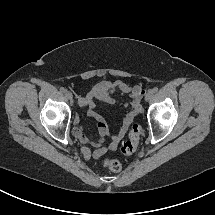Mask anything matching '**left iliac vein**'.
<instances>
[{"label": "left iliac vein", "mask_w": 215, "mask_h": 215, "mask_svg": "<svg viewBox=\"0 0 215 215\" xmlns=\"http://www.w3.org/2000/svg\"><path fill=\"white\" fill-rule=\"evenodd\" d=\"M152 96H153V92L152 91L147 92V94L145 95V100L149 101Z\"/></svg>", "instance_id": "left-iliac-vein-1"}]
</instances>
